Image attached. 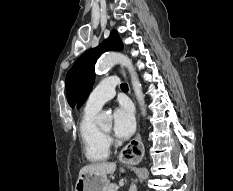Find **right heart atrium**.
Here are the masks:
<instances>
[{
  "mask_svg": "<svg viewBox=\"0 0 233 191\" xmlns=\"http://www.w3.org/2000/svg\"><path fill=\"white\" fill-rule=\"evenodd\" d=\"M106 139H107L108 143H111V138L110 137H107Z\"/></svg>",
  "mask_w": 233,
  "mask_h": 191,
  "instance_id": "right-heart-atrium-1",
  "label": "right heart atrium"
}]
</instances>
